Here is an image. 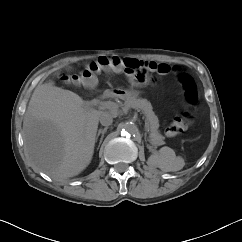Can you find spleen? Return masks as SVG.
<instances>
[{"label": "spleen", "mask_w": 242, "mask_h": 242, "mask_svg": "<svg viewBox=\"0 0 242 242\" xmlns=\"http://www.w3.org/2000/svg\"><path fill=\"white\" fill-rule=\"evenodd\" d=\"M179 158L176 157L175 152L169 147H163L160 149L159 153L153 155L150 158V162H154L163 171H176L178 168L176 166V161Z\"/></svg>", "instance_id": "3e777b00"}]
</instances>
